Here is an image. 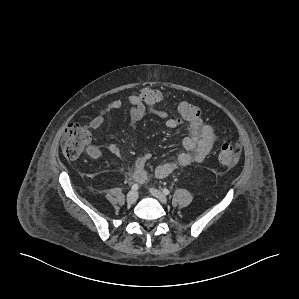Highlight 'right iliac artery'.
<instances>
[{
	"instance_id": "1",
	"label": "right iliac artery",
	"mask_w": 299,
	"mask_h": 299,
	"mask_svg": "<svg viewBox=\"0 0 299 299\" xmlns=\"http://www.w3.org/2000/svg\"><path fill=\"white\" fill-rule=\"evenodd\" d=\"M138 188H139L138 184H133L131 189L136 191V190H138Z\"/></svg>"
}]
</instances>
